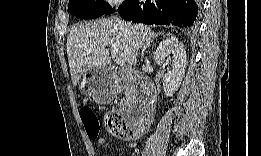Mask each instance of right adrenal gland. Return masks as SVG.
Instances as JSON below:
<instances>
[{"label": "right adrenal gland", "instance_id": "2a0ac1e0", "mask_svg": "<svg viewBox=\"0 0 261 156\" xmlns=\"http://www.w3.org/2000/svg\"><path fill=\"white\" fill-rule=\"evenodd\" d=\"M159 35H162V33H157V34L153 37V39L156 38V37L159 36ZM153 39L143 46L142 53H141L142 57H144V55H145V53H146V51H147V48L150 47V45H151Z\"/></svg>", "mask_w": 261, "mask_h": 156}]
</instances>
